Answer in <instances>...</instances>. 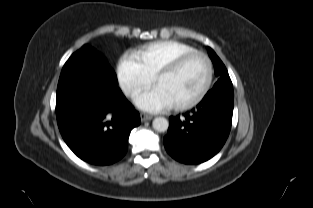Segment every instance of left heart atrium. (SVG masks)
<instances>
[{"instance_id": "1", "label": "left heart atrium", "mask_w": 313, "mask_h": 208, "mask_svg": "<svg viewBox=\"0 0 313 208\" xmlns=\"http://www.w3.org/2000/svg\"><path fill=\"white\" fill-rule=\"evenodd\" d=\"M134 102L140 109L152 113L161 112L173 106L172 100L158 85L138 92L134 97Z\"/></svg>"}]
</instances>
